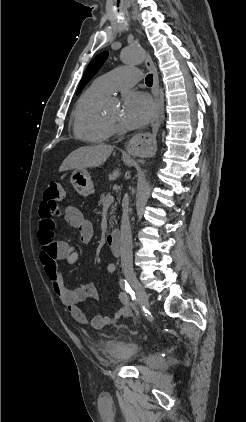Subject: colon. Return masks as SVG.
Segmentation results:
<instances>
[{
	"label": "colon",
	"instance_id": "colon-1",
	"mask_svg": "<svg viewBox=\"0 0 246 422\" xmlns=\"http://www.w3.org/2000/svg\"><path fill=\"white\" fill-rule=\"evenodd\" d=\"M64 198L65 191L62 185L58 182H51L44 191L43 203L53 210H60Z\"/></svg>",
	"mask_w": 246,
	"mask_h": 422
}]
</instances>
